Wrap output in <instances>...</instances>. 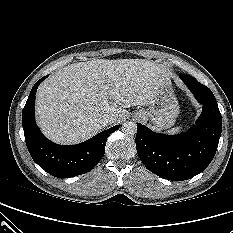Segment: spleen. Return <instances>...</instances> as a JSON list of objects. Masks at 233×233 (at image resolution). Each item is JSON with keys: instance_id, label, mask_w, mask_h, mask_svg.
<instances>
[{"instance_id": "spleen-1", "label": "spleen", "mask_w": 233, "mask_h": 233, "mask_svg": "<svg viewBox=\"0 0 233 233\" xmlns=\"http://www.w3.org/2000/svg\"><path fill=\"white\" fill-rule=\"evenodd\" d=\"M183 130L182 127H176V128H172L168 131H166L167 134H178Z\"/></svg>"}]
</instances>
